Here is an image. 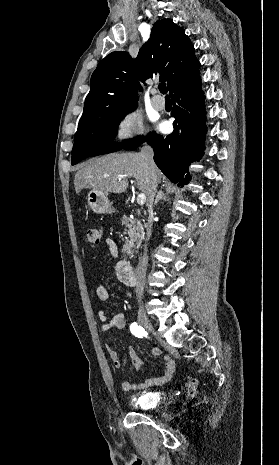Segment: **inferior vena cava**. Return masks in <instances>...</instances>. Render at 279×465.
Here are the masks:
<instances>
[{
  "label": "inferior vena cava",
  "mask_w": 279,
  "mask_h": 465,
  "mask_svg": "<svg viewBox=\"0 0 279 465\" xmlns=\"http://www.w3.org/2000/svg\"><path fill=\"white\" fill-rule=\"evenodd\" d=\"M140 156L144 160V165L149 172V180H150V190H149V196H148V201H147L148 220L146 224V230H147L146 245H145V250H146L147 242L149 241L150 236H151L152 219L154 216L153 202H154V197L157 191L158 179H157V167L153 159V156H154L153 149L147 145L142 147ZM146 265H147V257L144 254L140 258L139 263L136 267V271H135L136 277H137V285L135 288V292L139 300L142 298L143 292H144V277L146 274Z\"/></svg>",
  "instance_id": "obj_1"
}]
</instances>
